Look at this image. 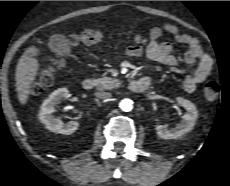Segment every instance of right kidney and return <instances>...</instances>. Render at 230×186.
<instances>
[{
	"label": "right kidney",
	"mask_w": 230,
	"mask_h": 186,
	"mask_svg": "<svg viewBox=\"0 0 230 186\" xmlns=\"http://www.w3.org/2000/svg\"><path fill=\"white\" fill-rule=\"evenodd\" d=\"M68 94L69 91L67 88H59L52 92L41 105L38 118L43 124H45L46 128L52 132L70 135L79 127L77 121L63 123L61 120L52 117L56 105L59 104L62 99H66Z\"/></svg>",
	"instance_id": "1"
}]
</instances>
